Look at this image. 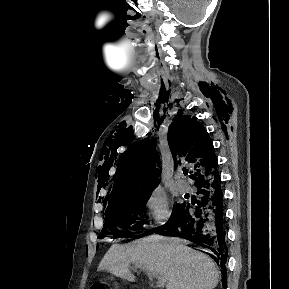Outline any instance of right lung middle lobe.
Wrapping results in <instances>:
<instances>
[{
  "mask_svg": "<svg viewBox=\"0 0 289 289\" xmlns=\"http://www.w3.org/2000/svg\"><path fill=\"white\" fill-rule=\"evenodd\" d=\"M151 192L133 195L127 199L109 205L105 213V224L98 238H103L107 230H111L114 238L120 237H140L138 232H124L123 228L132 227L134 230L141 229L142 225L136 220L145 210V205L150 198ZM179 206V205H178ZM174 206L173 211L178 208Z\"/></svg>",
  "mask_w": 289,
  "mask_h": 289,
  "instance_id": "right-lung-middle-lobe-1",
  "label": "right lung middle lobe"
}]
</instances>
